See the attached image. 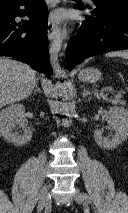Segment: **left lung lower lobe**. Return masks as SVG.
Wrapping results in <instances>:
<instances>
[{
    "instance_id": "left-lung-lower-lobe-1",
    "label": "left lung lower lobe",
    "mask_w": 128,
    "mask_h": 213,
    "mask_svg": "<svg viewBox=\"0 0 128 213\" xmlns=\"http://www.w3.org/2000/svg\"><path fill=\"white\" fill-rule=\"evenodd\" d=\"M76 8L88 10L91 7ZM81 29L78 38L71 40L66 51L69 70L88 57L128 49V5L95 7Z\"/></svg>"
}]
</instances>
